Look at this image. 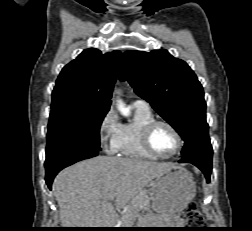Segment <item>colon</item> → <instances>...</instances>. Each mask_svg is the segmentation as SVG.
Segmentation results:
<instances>
[{
    "mask_svg": "<svg viewBox=\"0 0 252 231\" xmlns=\"http://www.w3.org/2000/svg\"><path fill=\"white\" fill-rule=\"evenodd\" d=\"M186 221L191 227H199L204 223V217L197 209L195 203H191L188 206L186 212Z\"/></svg>",
    "mask_w": 252,
    "mask_h": 231,
    "instance_id": "obj_1",
    "label": "colon"
}]
</instances>
